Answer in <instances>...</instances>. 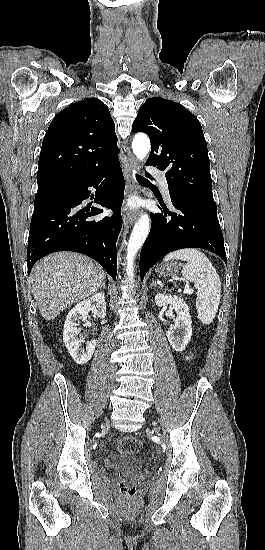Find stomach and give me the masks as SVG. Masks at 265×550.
I'll return each instance as SVG.
<instances>
[{
  "label": "stomach",
  "instance_id": "0dacf381",
  "mask_svg": "<svg viewBox=\"0 0 265 550\" xmlns=\"http://www.w3.org/2000/svg\"><path fill=\"white\" fill-rule=\"evenodd\" d=\"M176 271V265L175 264H162L159 268H157V272L160 275H172L173 272Z\"/></svg>",
  "mask_w": 265,
  "mask_h": 550
}]
</instances>
